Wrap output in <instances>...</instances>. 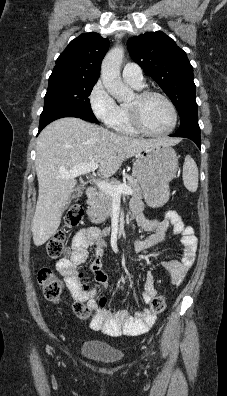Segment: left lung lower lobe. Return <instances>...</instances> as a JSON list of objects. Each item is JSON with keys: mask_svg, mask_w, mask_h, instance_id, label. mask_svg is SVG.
Returning a JSON list of instances; mask_svg holds the SVG:
<instances>
[{"mask_svg": "<svg viewBox=\"0 0 227 396\" xmlns=\"http://www.w3.org/2000/svg\"><path fill=\"white\" fill-rule=\"evenodd\" d=\"M170 136L191 139L201 149L200 127L198 125L197 112H191L180 120L179 129Z\"/></svg>", "mask_w": 227, "mask_h": 396, "instance_id": "1", "label": "left lung lower lobe"}]
</instances>
